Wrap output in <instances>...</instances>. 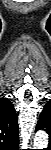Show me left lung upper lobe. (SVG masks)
Instances as JSON below:
<instances>
[{"mask_svg":"<svg viewBox=\"0 0 51 150\" xmlns=\"http://www.w3.org/2000/svg\"><path fill=\"white\" fill-rule=\"evenodd\" d=\"M36 130H44L51 135V101H48L44 106L39 120L36 125Z\"/></svg>","mask_w":51,"mask_h":150,"instance_id":"5c2ea615","label":"left lung upper lobe"}]
</instances>
